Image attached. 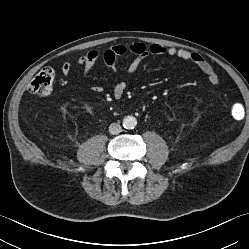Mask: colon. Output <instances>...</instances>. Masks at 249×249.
<instances>
[{"mask_svg":"<svg viewBox=\"0 0 249 249\" xmlns=\"http://www.w3.org/2000/svg\"><path fill=\"white\" fill-rule=\"evenodd\" d=\"M55 80V71L52 68L42 69L31 81L29 91L38 96L49 95L52 91ZM244 110L242 105L234 104L232 107V115L235 119H239Z\"/></svg>","mask_w":249,"mask_h":249,"instance_id":"5ec220e1","label":"colon"}]
</instances>
